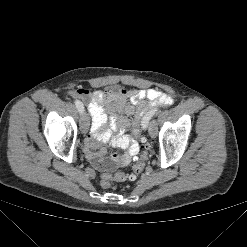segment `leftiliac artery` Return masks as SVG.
<instances>
[{"instance_id":"44dca946","label":"left iliac artery","mask_w":247,"mask_h":247,"mask_svg":"<svg viewBox=\"0 0 247 247\" xmlns=\"http://www.w3.org/2000/svg\"><path fill=\"white\" fill-rule=\"evenodd\" d=\"M159 111V108H153L149 110L142 119V126H147L150 119Z\"/></svg>"}]
</instances>
